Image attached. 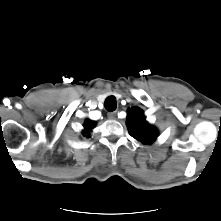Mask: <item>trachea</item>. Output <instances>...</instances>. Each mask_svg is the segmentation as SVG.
Returning a JSON list of instances; mask_svg holds the SVG:
<instances>
[{"label":"trachea","mask_w":221,"mask_h":221,"mask_svg":"<svg viewBox=\"0 0 221 221\" xmlns=\"http://www.w3.org/2000/svg\"><path fill=\"white\" fill-rule=\"evenodd\" d=\"M105 109L107 111H114L117 108V102L114 96H109L106 98L105 103H104Z\"/></svg>","instance_id":"trachea-1"}]
</instances>
